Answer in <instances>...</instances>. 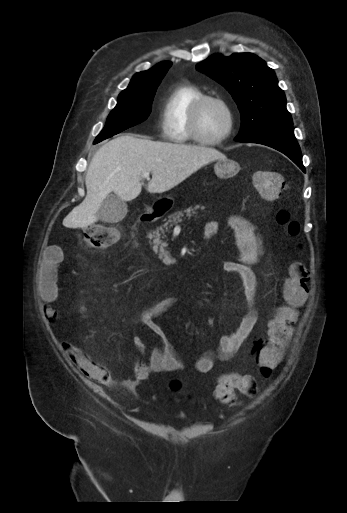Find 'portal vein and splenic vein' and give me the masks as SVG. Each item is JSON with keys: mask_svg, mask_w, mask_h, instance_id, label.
<instances>
[{"mask_svg": "<svg viewBox=\"0 0 347 513\" xmlns=\"http://www.w3.org/2000/svg\"><path fill=\"white\" fill-rule=\"evenodd\" d=\"M142 177H143V178H146V179H149V173H144V174L142 175Z\"/></svg>", "mask_w": 347, "mask_h": 513, "instance_id": "18ae733b", "label": "portal vein and splenic vein"}]
</instances>
